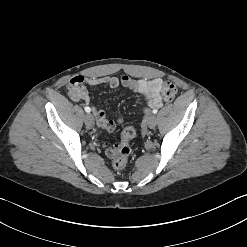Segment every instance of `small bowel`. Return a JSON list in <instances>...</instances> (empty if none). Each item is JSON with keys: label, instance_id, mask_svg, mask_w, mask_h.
<instances>
[{"label": "small bowel", "instance_id": "obj_1", "mask_svg": "<svg viewBox=\"0 0 247 247\" xmlns=\"http://www.w3.org/2000/svg\"><path fill=\"white\" fill-rule=\"evenodd\" d=\"M164 81L162 79H134L130 76L124 75L121 78L115 76H103L87 78L81 75L73 77L67 86L68 95L75 101H82L85 104H90L91 98L86 89V86H104L108 88H117L123 86L134 93L141 95L146 103V108L143 112V119L141 124V134L146 133L148 111L151 108L159 107L162 104V90ZM94 115L98 126L105 131H112L117 123H121L119 118L117 122L107 118L106 113L102 109L93 108ZM115 145H105V153L108 157H114Z\"/></svg>", "mask_w": 247, "mask_h": 247}]
</instances>
